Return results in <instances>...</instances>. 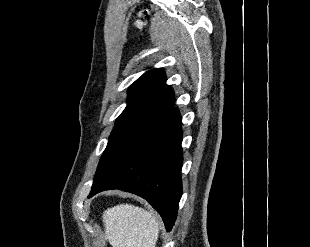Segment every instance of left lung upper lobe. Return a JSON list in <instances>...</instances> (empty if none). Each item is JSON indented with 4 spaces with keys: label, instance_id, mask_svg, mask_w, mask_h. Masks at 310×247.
I'll return each mask as SVG.
<instances>
[{
    "label": "left lung upper lobe",
    "instance_id": "5c2ea615",
    "mask_svg": "<svg viewBox=\"0 0 310 247\" xmlns=\"http://www.w3.org/2000/svg\"><path fill=\"white\" fill-rule=\"evenodd\" d=\"M127 100L101 156L93 184L143 130L173 108L174 93L166 85L164 70L144 73L130 86Z\"/></svg>",
    "mask_w": 310,
    "mask_h": 247
}]
</instances>
